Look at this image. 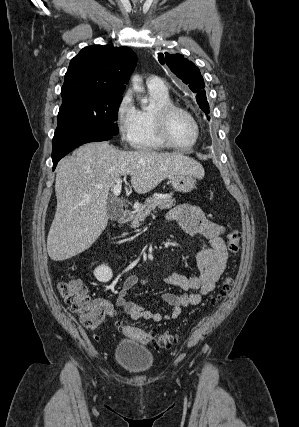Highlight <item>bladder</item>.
Returning <instances> with one entry per match:
<instances>
[{"mask_svg":"<svg viewBox=\"0 0 299 427\" xmlns=\"http://www.w3.org/2000/svg\"><path fill=\"white\" fill-rule=\"evenodd\" d=\"M115 357L119 366L133 375L147 372L154 364V357L149 349L128 339L119 341L115 349Z\"/></svg>","mask_w":299,"mask_h":427,"instance_id":"31cf9c89","label":"bladder"}]
</instances>
